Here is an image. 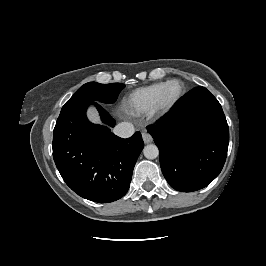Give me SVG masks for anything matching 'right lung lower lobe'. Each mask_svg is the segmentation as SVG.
Returning a JSON list of instances; mask_svg holds the SVG:
<instances>
[{
  "label": "right lung lower lobe",
  "instance_id": "98d812e1",
  "mask_svg": "<svg viewBox=\"0 0 266 266\" xmlns=\"http://www.w3.org/2000/svg\"><path fill=\"white\" fill-rule=\"evenodd\" d=\"M94 105L106 126L86 117ZM115 120L98 103L78 105L58 119L53 131V158L66 184L79 196L98 203L123 197L144 143L139 132L128 139L114 135Z\"/></svg>",
  "mask_w": 266,
  "mask_h": 266
}]
</instances>
